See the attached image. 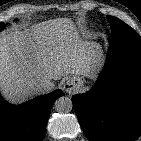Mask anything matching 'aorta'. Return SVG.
<instances>
[{"label": "aorta", "mask_w": 141, "mask_h": 141, "mask_svg": "<svg viewBox=\"0 0 141 141\" xmlns=\"http://www.w3.org/2000/svg\"><path fill=\"white\" fill-rule=\"evenodd\" d=\"M54 107L57 112L59 113H68L72 110L73 108V103L69 97H59L55 104Z\"/></svg>", "instance_id": "762f6f07"}]
</instances>
